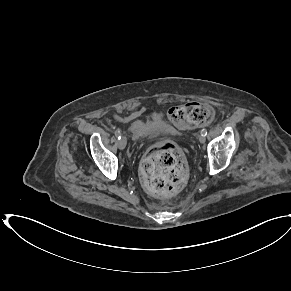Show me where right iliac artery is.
Wrapping results in <instances>:
<instances>
[{
	"instance_id": "right-iliac-artery-1",
	"label": "right iliac artery",
	"mask_w": 291,
	"mask_h": 291,
	"mask_svg": "<svg viewBox=\"0 0 291 291\" xmlns=\"http://www.w3.org/2000/svg\"><path fill=\"white\" fill-rule=\"evenodd\" d=\"M115 136L118 138V140L121 138V131L120 130H116L115 131Z\"/></svg>"
}]
</instances>
